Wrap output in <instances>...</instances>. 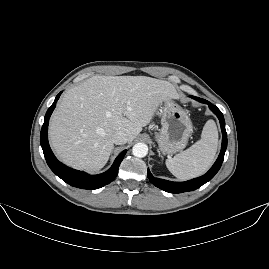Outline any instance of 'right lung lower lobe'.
Here are the masks:
<instances>
[{"label": "right lung lower lobe", "mask_w": 269, "mask_h": 269, "mask_svg": "<svg viewBox=\"0 0 269 269\" xmlns=\"http://www.w3.org/2000/svg\"><path fill=\"white\" fill-rule=\"evenodd\" d=\"M61 93L62 92H60L56 96L54 103L47 110L45 119H44V124L41 129L40 143L43 149L46 162L48 166L50 167V169L58 177H60L63 181H65L71 186L81 188V189H89V190L101 188L109 184L115 179V177L118 174L119 165L121 161L123 160L127 150L122 151L118 155V157L116 158L113 165L108 171L102 174H98V175H89L85 172L71 169L65 166L64 164L60 163L54 156L53 152L51 151L49 143H48V123H49V118L56 106V102L59 99Z\"/></svg>", "instance_id": "98d812e1"}]
</instances>
